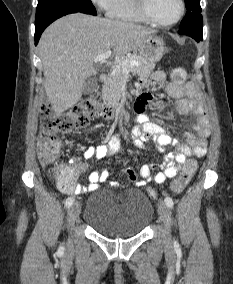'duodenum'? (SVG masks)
<instances>
[{
  "mask_svg": "<svg viewBox=\"0 0 233 284\" xmlns=\"http://www.w3.org/2000/svg\"><path fill=\"white\" fill-rule=\"evenodd\" d=\"M99 81L101 84H106L108 81V75L103 73L99 76ZM100 114L103 119L105 120H111L115 116V109L111 106H103L101 108Z\"/></svg>",
  "mask_w": 233,
  "mask_h": 284,
  "instance_id": "duodenum-1",
  "label": "duodenum"
}]
</instances>
